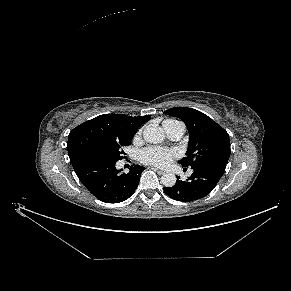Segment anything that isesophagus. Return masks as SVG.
Wrapping results in <instances>:
<instances>
[{
  "instance_id": "esophagus-1",
  "label": "esophagus",
  "mask_w": 291,
  "mask_h": 291,
  "mask_svg": "<svg viewBox=\"0 0 291 291\" xmlns=\"http://www.w3.org/2000/svg\"><path fill=\"white\" fill-rule=\"evenodd\" d=\"M154 171H156L159 175L164 174L165 172L163 170L157 169V168H152Z\"/></svg>"
}]
</instances>
